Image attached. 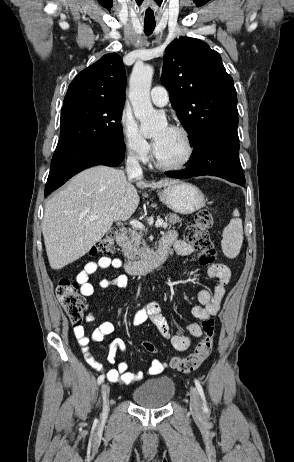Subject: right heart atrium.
<instances>
[{
  "label": "right heart atrium",
  "mask_w": 294,
  "mask_h": 462,
  "mask_svg": "<svg viewBox=\"0 0 294 462\" xmlns=\"http://www.w3.org/2000/svg\"><path fill=\"white\" fill-rule=\"evenodd\" d=\"M119 127L126 151L141 162L148 161L151 146L142 134L132 113L126 108L120 114Z\"/></svg>",
  "instance_id": "1"
}]
</instances>
